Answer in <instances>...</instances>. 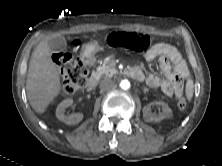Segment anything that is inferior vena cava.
Here are the masks:
<instances>
[{
	"mask_svg": "<svg viewBox=\"0 0 222 166\" xmlns=\"http://www.w3.org/2000/svg\"><path fill=\"white\" fill-rule=\"evenodd\" d=\"M99 86L102 90H111L114 88L115 85L111 79L105 78L100 81Z\"/></svg>",
	"mask_w": 222,
	"mask_h": 166,
	"instance_id": "inferior-vena-cava-1",
	"label": "inferior vena cava"
}]
</instances>
